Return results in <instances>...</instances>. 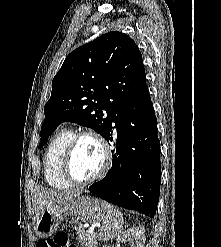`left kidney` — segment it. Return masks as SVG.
Instances as JSON below:
<instances>
[{"instance_id": "left-kidney-1", "label": "left kidney", "mask_w": 221, "mask_h": 247, "mask_svg": "<svg viewBox=\"0 0 221 247\" xmlns=\"http://www.w3.org/2000/svg\"><path fill=\"white\" fill-rule=\"evenodd\" d=\"M127 239H134L133 247H144L145 244V228L143 226H135L118 236L117 242L123 243Z\"/></svg>"}]
</instances>
